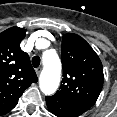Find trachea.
Instances as JSON below:
<instances>
[{"label": "trachea", "mask_w": 117, "mask_h": 117, "mask_svg": "<svg viewBox=\"0 0 117 117\" xmlns=\"http://www.w3.org/2000/svg\"><path fill=\"white\" fill-rule=\"evenodd\" d=\"M40 62H41V60H40V58H39L38 56H34V57L32 58V64H33V66H34L35 68L39 67Z\"/></svg>", "instance_id": "obj_1"}]
</instances>
